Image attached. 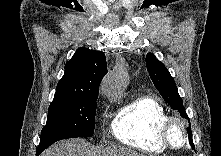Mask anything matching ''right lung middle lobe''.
<instances>
[{"label": "right lung middle lobe", "mask_w": 221, "mask_h": 156, "mask_svg": "<svg viewBox=\"0 0 221 156\" xmlns=\"http://www.w3.org/2000/svg\"><path fill=\"white\" fill-rule=\"evenodd\" d=\"M97 98L98 95H91L77 100L52 102L48 109L47 123L41 131L36 154L39 155L61 139L92 136Z\"/></svg>", "instance_id": "obj_1"}]
</instances>
